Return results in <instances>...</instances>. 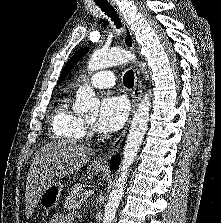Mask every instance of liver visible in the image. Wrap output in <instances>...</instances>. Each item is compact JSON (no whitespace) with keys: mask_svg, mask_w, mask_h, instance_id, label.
I'll return each instance as SVG.
<instances>
[{"mask_svg":"<svg viewBox=\"0 0 221 223\" xmlns=\"http://www.w3.org/2000/svg\"><path fill=\"white\" fill-rule=\"evenodd\" d=\"M94 151L73 141L61 140L41 147L35 154L27 175L26 215L36 207L40 194L59 178L81 169Z\"/></svg>","mask_w":221,"mask_h":223,"instance_id":"obj_1","label":"liver"}]
</instances>
